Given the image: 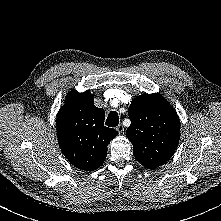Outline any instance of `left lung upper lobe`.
<instances>
[{"label": "left lung upper lobe", "instance_id": "left-lung-upper-lobe-1", "mask_svg": "<svg viewBox=\"0 0 221 221\" xmlns=\"http://www.w3.org/2000/svg\"><path fill=\"white\" fill-rule=\"evenodd\" d=\"M131 125L126 136L137 161L149 169L166 163L180 139V121L174 108L160 94L136 97L128 109Z\"/></svg>", "mask_w": 221, "mask_h": 221}]
</instances>
